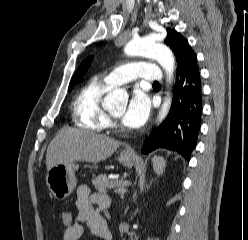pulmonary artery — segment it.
I'll return each mask as SVG.
<instances>
[{"instance_id":"pulmonary-artery-1","label":"pulmonary artery","mask_w":248,"mask_h":240,"mask_svg":"<svg viewBox=\"0 0 248 240\" xmlns=\"http://www.w3.org/2000/svg\"><path fill=\"white\" fill-rule=\"evenodd\" d=\"M104 79L110 85H121L135 79L160 82L163 76L156 65L142 61H133L112 69Z\"/></svg>"}]
</instances>
